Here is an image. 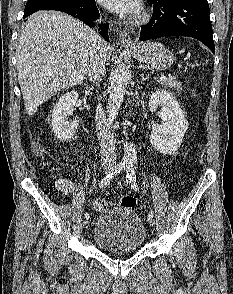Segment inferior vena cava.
<instances>
[{
  "label": "inferior vena cava",
  "mask_w": 233,
  "mask_h": 294,
  "mask_svg": "<svg viewBox=\"0 0 233 294\" xmlns=\"http://www.w3.org/2000/svg\"><path fill=\"white\" fill-rule=\"evenodd\" d=\"M104 46L105 43H103L102 39L99 37L97 49L91 54L89 60V78L90 81L96 84L102 80L105 74L106 57L104 56ZM95 121L97 136L100 143L102 165L107 166L114 164L116 160L115 141L100 103L96 109Z\"/></svg>",
  "instance_id": "obj_1"
}]
</instances>
